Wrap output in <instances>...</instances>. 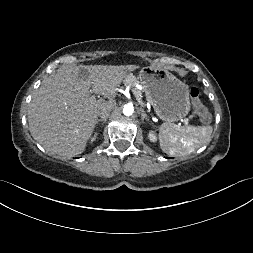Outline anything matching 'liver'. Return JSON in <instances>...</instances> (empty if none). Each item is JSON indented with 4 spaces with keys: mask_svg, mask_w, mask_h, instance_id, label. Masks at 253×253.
<instances>
[{
    "mask_svg": "<svg viewBox=\"0 0 253 253\" xmlns=\"http://www.w3.org/2000/svg\"><path fill=\"white\" fill-rule=\"evenodd\" d=\"M137 66H63L45 79L28 107L32 137L61 156L81 154L102 106L115 101L116 88ZM91 93L104 98L92 100Z\"/></svg>",
    "mask_w": 253,
    "mask_h": 253,
    "instance_id": "6515ba94",
    "label": "liver"
}]
</instances>
